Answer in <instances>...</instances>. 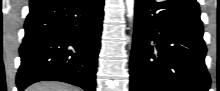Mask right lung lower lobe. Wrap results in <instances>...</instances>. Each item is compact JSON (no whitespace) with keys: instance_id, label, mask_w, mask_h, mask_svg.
Listing matches in <instances>:
<instances>
[{"instance_id":"right-lung-lower-lobe-1","label":"right lung lower lobe","mask_w":220,"mask_h":91,"mask_svg":"<svg viewBox=\"0 0 220 91\" xmlns=\"http://www.w3.org/2000/svg\"><path fill=\"white\" fill-rule=\"evenodd\" d=\"M104 0H33L20 47L19 91L43 80L95 91Z\"/></svg>"}]
</instances>
